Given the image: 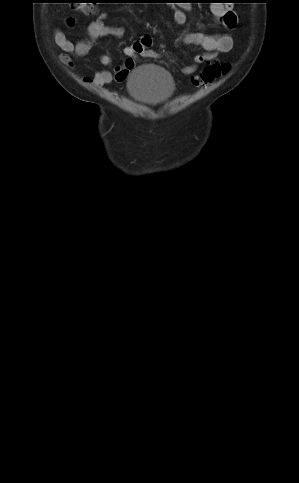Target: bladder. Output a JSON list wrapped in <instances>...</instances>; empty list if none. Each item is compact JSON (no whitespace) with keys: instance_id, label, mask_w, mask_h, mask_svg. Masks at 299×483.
<instances>
[{"instance_id":"1","label":"bladder","mask_w":299,"mask_h":483,"mask_svg":"<svg viewBox=\"0 0 299 483\" xmlns=\"http://www.w3.org/2000/svg\"><path fill=\"white\" fill-rule=\"evenodd\" d=\"M175 90L171 75L156 65L134 69L128 78V92L138 102L150 104L169 98Z\"/></svg>"}]
</instances>
